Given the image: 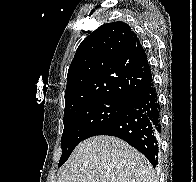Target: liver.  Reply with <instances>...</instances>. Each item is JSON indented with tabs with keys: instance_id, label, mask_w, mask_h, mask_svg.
Segmentation results:
<instances>
[{
	"instance_id": "obj_1",
	"label": "liver",
	"mask_w": 196,
	"mask_h": 182,
	"mask_svg": "<svg viewBox=\"0 0 196 182\" xmlns=\"http://www.w3.org/2000/svg\"><path fill=\"white\" fill-rule=\"evenodd\" d=\"M58 182H158L147 158L125 141L94 136L82 141Z\"/></svg>"
}]
</instances>
